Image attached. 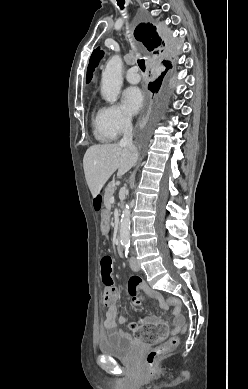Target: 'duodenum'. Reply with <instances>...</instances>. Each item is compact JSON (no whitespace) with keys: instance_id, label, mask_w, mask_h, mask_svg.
<instances>
[{"instance_id":"410a0bca","label":"duodenum","mask_w":248,"mask_h":389,"mask_svg":"<svg viewBox=\"0 0 248 389\" xmlns=\"http://www.w3.org/2000/svg\"><path fill=\"white\" fill-rule=\"evenodd\" d=\"M116 250L119 256H123V247L121 245L120 239H117Z\"/></svg>"}]
</instances>
